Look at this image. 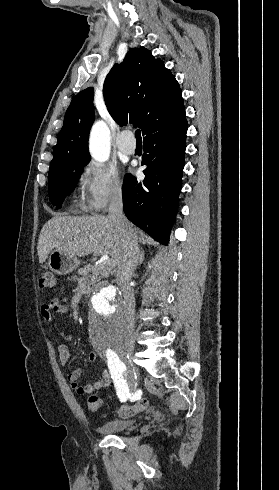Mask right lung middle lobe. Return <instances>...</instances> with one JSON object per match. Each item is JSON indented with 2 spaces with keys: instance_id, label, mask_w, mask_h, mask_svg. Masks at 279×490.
<instances>
[{
  "instance_id": "dd1d6c3e",
  "label": "right lung middle lobe",
  "mask_w": 279,
  "mask_h": 490,
  "mask_svg": "<svg viewBox=\"0 0 279 490\" xmlns=\"http://www.w3.org/2000/svg\"><path fill=\"white\" fill-rule=\"evenodd\" d=\"M88 163L89 161H86L76 166L65 168L49 176V198L57 208H60L65 196L73 191L75 183L83 172V167Z\"/></svg>"
}]
</instances>
